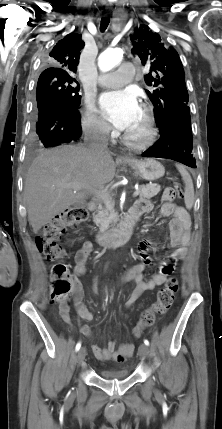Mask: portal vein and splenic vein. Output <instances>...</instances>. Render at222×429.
<instances>
[{
    "label": "portal vein and splenic vein",
    "mask_w": 222,
    "mask_h": 429,
    "mask_svg": "<svg viewBox=\"0 0 222 429\" xmlns=\"http://www.w3.org/2000/svg\"><path fill=\"white\" fill-rule=\"evenodd\" d=\"M82 187H83V184H76V185L74 186V188H75V189H79V188H82ZM94 194H95L97 197L102 198V199H105V198H108V197H109V196H108V194H106L104 190H97V191H95V192H94ZM138 195H139V190H136V191L133 193V197L135 198V197H137Z\"/></svg>",
    "instance_id": "1"
}]
</instances>
